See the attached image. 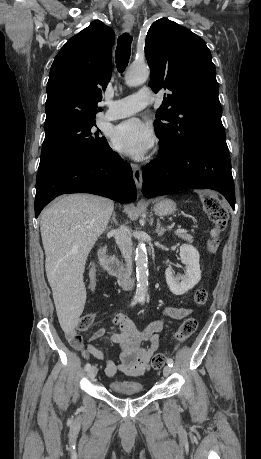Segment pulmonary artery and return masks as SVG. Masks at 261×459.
Wrapping results in <instances>:
<instances>
[{
    "mask_svg": "<svg viewBox=\"0 0 261 459\" xmlns=\"http://www.w3.org/2000/svg\"><path fill=\"white\" fill-rule=\"evenodd\" d=\"M153 102V94L149 88H142L137 93L108 103L105 113L106 120H117L131 116Z\"/></svg>",
    "mask_w": 261,
    "mask_h": 459,
    "instance_id": "1",
    "label": "pulmonary artery"
}]
</instances>
